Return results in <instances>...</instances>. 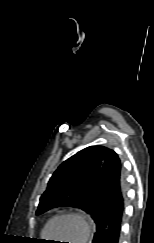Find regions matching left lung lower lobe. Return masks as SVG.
<instances>
[{
  "instance_id": "left-lung-lower-lobe-1",
  "label": "left lung lower lobe",
  "mask_w": 154,
  "mask_h": 243,
  "mask_svg": "<svg viewBox=\"0 0 154 243\" xmlns=\"http://www.w3.org/2000/svg\"><path fill=\"white\" fill-rule=\"evenodd\" d=\"M91 200L97 202L100 216L92 243H119L125 202V178L117 154L111 152L91 189Z\"/></svg>"
}]
</instances>
